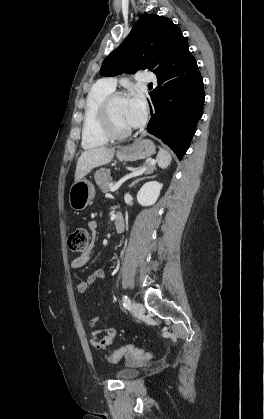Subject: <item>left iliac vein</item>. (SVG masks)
<instances>
[{"instance_id": "obj_1", "label": "left iliac vein", "mask_w": 264, "mask_h": 419, "mask_svg": "<svg viewBox=\"0 0 264 419\" xmlns=\"http://www.w3.org/2000/svg\"><path fill=\"white\" fill-rule=\"evenodd\" d=\"M131 310L135 316H141L144 314V306L141 303L135 302L131 306Z\"/></svg>"}]
</instances>
